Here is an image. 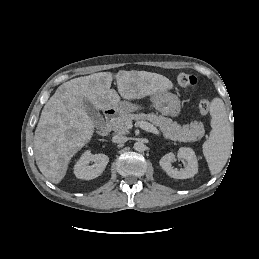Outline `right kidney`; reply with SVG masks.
<instances>
[{
    "label": "right kidney",
    "instance_id": "ca27d5eb",
    "mask_svg": "<svg viewBox=\"0 0 259 259\" xmlns=\"http://www.w3.org/2000/svg\"><path fill=\"white\" fill-rule=\"evenodd\" d=\"M94 162L93 165H89ZM109 162L108 156L105 154H91L86 151L74 166V174L78 179L92 180L102 174Z\"/></svg>",
    "mask_w": 259,
    "mask_h": 259
}]
</instances>
